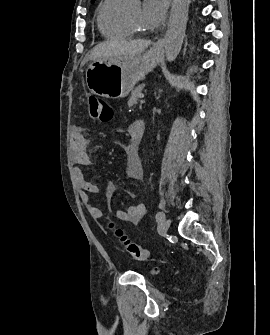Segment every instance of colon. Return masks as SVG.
Returning a JSON list of instances; mask_svg holds the SVG:
<instances>
[{"instance_id": "5ec220e1", "label": "colon", "mask_w": 270, "mask_h": 335, "mask_svg": "<svg viewBox=\"0 0 270 335\" xmlns=\"http://www.w3.org/2000/svg\"><path fill=\"white\" fill-rule=\"evenodd\" d=\"M89 116L101 123H107L113 115L110 106L101 98L91 96L89 99ZM110 228L114 231L115 236L121 242L127 253L135 260L143 261L149 256L145 247L131 242L125 235L124 231L114 222L110 223Z\"/></svg>"}]
</instances>
